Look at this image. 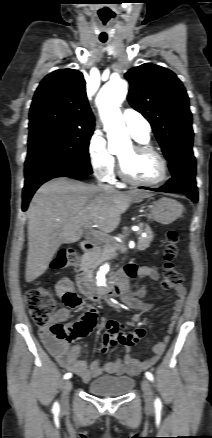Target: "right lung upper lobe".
Masks as SVG:
<instances>
[{
  "label": "right lung upper lobe",
  "mask_w": 212,
  "mask_h": 438,
  "mask_svg": "<svg viewBox=\"0 0 212 438\" xmlns=\"http://www.w3.org/2000/svg\"><path fill=\"white\" fill-rule=\"evenodd\" d=\"M29 120L30 130L42 127L93 130L94 117L82 73L61 69L48 74L35 92Z\"/></svg>",
  "instance_id": "right-lung-upper-lobe-1"
}]
</instances>
